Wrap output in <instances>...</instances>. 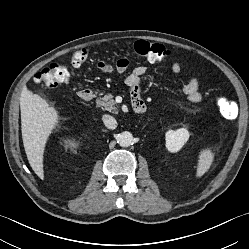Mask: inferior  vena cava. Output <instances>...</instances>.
<instances>
[{
    "label": "inferior vena cava",
    "instance_id": "602c4592",
    "mask_svg": "<svg viewBox=\"0 0 249 249\" xmlns=\"http://www.w3.org/2000/svg\"><path fill=\"white\" fill-rule=\"evenodd\" d=\"M102 120H103V123L104 125L108 128V129H115L117 127V121L116 119L111 116V115H103L102 116Z\"/></svg>",
    "mask_w": 249,
    "mask_h": 249
}]
</instances>
